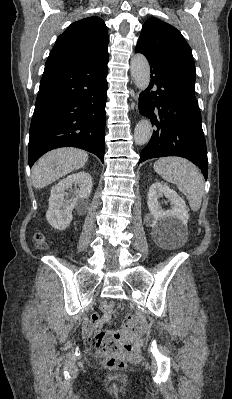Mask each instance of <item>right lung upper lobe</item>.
I'll return each instance as SVG.
<instances>
[{
    "mask_svg": "<svg viewBox=\"0 0 232 399\" xmlns=\"http://www.w3.org/2000/svg\"><path fill=\"white\" fill-rule=\"evenodd\" d=\"M104 21L87 17L72 23L56 40L46 65H71L108 58Z\"/></svg>",
    "mask_w": 232,
    "mask_h": 399,
    "instance_id": "right-lung-upper-lobe-1",
    "label": "right lung upper lobe"
}]
</instances>
